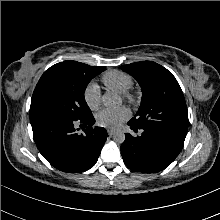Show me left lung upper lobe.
<instances>
[{
  "mask_svg": "<svg viewBox=\"0 0 220 220\" xmlns=\"http://www.w3.org/2000/svg\"><path fill=\"white\" fill-rule=\"evenodd\" d=\"M142 89V101L129 121L137 128L159 129L185 139L188 112L183 92L170 71L152 61L121 66Z\"/></svg>",
  "mask_w": 220,
  "mask_h": 220,
  "instance_id": "obj_1",
  "label": "left lung upper lobe"
}]
</instances>
